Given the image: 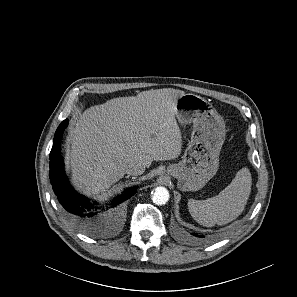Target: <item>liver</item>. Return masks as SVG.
Listing matches in <instances>:
<instances>
[{
  "label": "liver",
  "instance_id": "liver-1",
  "mask_svg": "<svg viewBox=\"0 0 297 297\" xmlns=\"http://www.w3.org/2000/svg\"><path fill=\"white\" fill-rule=\"evenodd\" d=\"M184 94L172 88L149 90L85 110L67 139L74 185L96 195L123 178L130 161L149 167L152 161L177 158L182 137L175 107Z\"/></svg>",
  "mask_w": 297,
  "mask_h": 297
}]
</instances>
